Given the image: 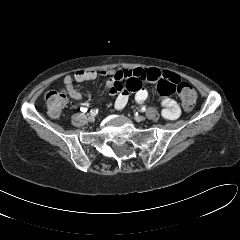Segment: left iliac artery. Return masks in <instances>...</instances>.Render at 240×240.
<instances>
[{
  "instance_id": "left-iliac-artery-1",
  "label": "left iliac artery",
  "mask_w": 240,
  "mask_h": 240,
  "mask_svg": "<svg viewBox=\"0 0 240 240\" xmlns=\"http://www.w3.org/2000/svg\"><path fill=\"white\" fill-rule=\"evenodd\" d=\"M140 111H141V112H145V111H146V108H145V107H142V108L140 109Z\"/></svg>"
}]
</instances>
